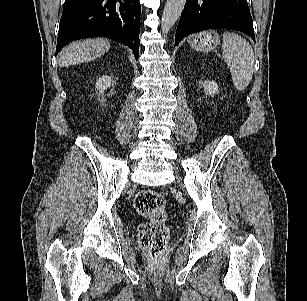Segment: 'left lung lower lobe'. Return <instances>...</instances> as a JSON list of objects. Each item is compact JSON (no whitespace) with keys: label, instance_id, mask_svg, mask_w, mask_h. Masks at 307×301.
<instances>
[{"label":"left lung lower lobe","instance_id":"obj_1","mask_svg":"<svg viewBox=\"0 0 307 301\" xmlns=\"http://www.w3.org/2000/svg\"><path fill=\"white\" fill-rule=\"evenodd\" d=\"M214 28L240 30L255 41L246 0H186L176 30L175 45L191 33Z\"/></svg>","mask_w":307,"mask_h":301}]
</instances>
